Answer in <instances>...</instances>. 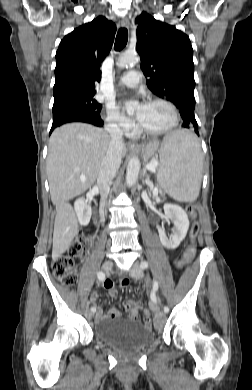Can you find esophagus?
Masks as SVG:
<instances>
[{
	"label": "esophagus",
	"instance_id": "obj_1",
	"mask_svg": "<svg viewBox=\"0 0 252 390\" xmlns=\"http://www.w3.org/2000/svg\"><path fill=\"white\" fill-rule=\"evenodd\" d=\"M129 25H130V22H129V20H128L127 18H123V19L121 20V26H122L123 28L128 29V28H129ZM129 147L134 148V147H135V144H134V143H129Z\"/></svg>",
	"mask_w": 252,
	"mask_h": 390
}]
</instances>
